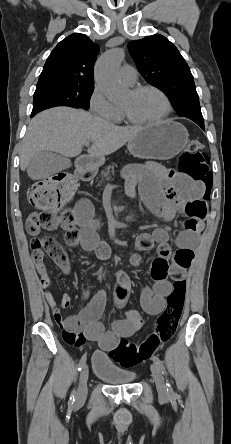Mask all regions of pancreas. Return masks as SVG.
I'll return each mask as SVG.
<instances>
[{"label": "pancreas", "mask_w": 231, "mask_h": 444, "mask_svg": "<svg viewBox=\"0 0 231 444\" xmlns=\"http://www.w3.org/2000/svg\"><path fill=\"white\" fill-rule=\"evenodd\" d=\"M115 167H117L116 164L106 167L100 174L101 181L109 179L115 173Z\"/></svg>", "instance_id": "obj_1"}]
</instances>
